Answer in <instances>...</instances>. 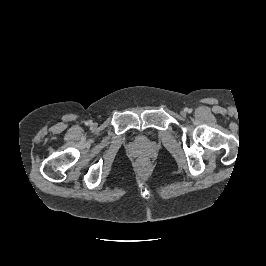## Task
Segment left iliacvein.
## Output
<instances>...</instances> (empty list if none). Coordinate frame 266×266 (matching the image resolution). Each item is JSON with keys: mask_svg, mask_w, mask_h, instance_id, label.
<instances>
[{"mask_svg": "<svg viewBox=\"0 0 266 266\" xmlns=\"http://www.w3.org/2000/svg\"><path fill=\"white\" fill-rule=\"evenodd\" d=\"M180 114H181V116L185 117V116H186V111L182 110V111L180 112Z\"/></svg>", "mask_w": 266, "mask_h": 266, "instance_id": "obj_1", "label": "left iliac vein"}]
</instances>
